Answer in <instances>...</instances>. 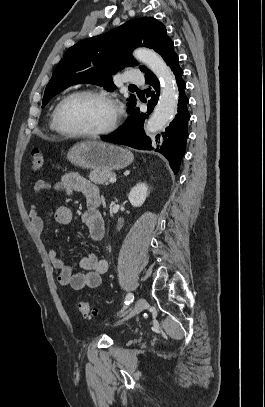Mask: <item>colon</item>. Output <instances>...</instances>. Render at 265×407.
I'll return each instance as SVG.
<instances>
[{"instance_id": "colon-1", "label": "colon", "mask_w": 265, "mask_h": 407, "mask_svg": "<svg viewBox=\"0 0 265 407\" xmlns=\"http://www.w3.org/2000/svg\"><path fill=\"white\" fill-rule=\"evenodd\" d=\"M44 169L43 155L39 150H34L31 158V170L33 172H40ZM77 308L84 318H96L97 310L93 308L89 302L80 300L77 302Z\"/></svg>"}]
</instances>
